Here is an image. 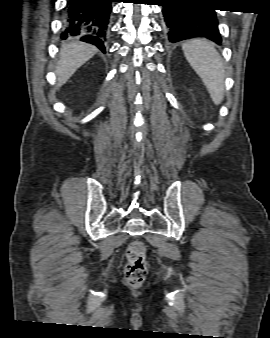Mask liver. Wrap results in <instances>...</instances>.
Instances as JSON below:
<instances>
[{
	"instance_id": "obj_1",
	"label": "liver",
	"mask_w": 270,
	"mask_h": 338,
	"mask_svg": "<svg viewBox=\"0 0 270 338\" xmlns=\"http://www.w3.org/2000/svg\"><path fill=\"white\" fill-rule=\"evenodd\" d=\"M98 49L88 43L73 42L63 45L60 60L56 67L57 85L61 87L75 71L91 59Z\"/></svg>"
}]
</instances>
